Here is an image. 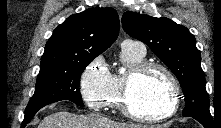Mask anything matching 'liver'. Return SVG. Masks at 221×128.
<instances>
[{
	"label": "liver",
	"instance_id": "liver-1",
	"mask_svg": "<svg viewBox=\"0 0 221 128\" xmlns=\"http://www.w3.org/2000/svg\"><path fill=\"white\" fill-rule=\"evenodd\" d=\"M168 125H141L117 123L109 118L90 113L88 115H76L66 111H60L46 116L38 128H167Z\"/></svg>",
	"mask_w": 221,
	"mask_h": 128
}]
</instances>
